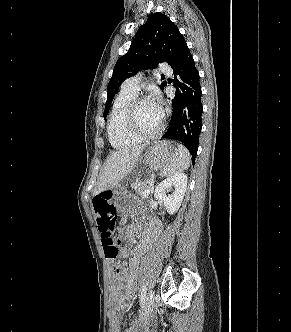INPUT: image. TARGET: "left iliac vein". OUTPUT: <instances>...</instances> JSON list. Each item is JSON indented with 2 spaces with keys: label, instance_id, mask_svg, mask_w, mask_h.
<instances>
[{
  "label": "left iliac vein",
  "instance_id": "obj_1",
  "mask_svg": "<svg viewBox=\"0 0 291 332\" xmlns=\"http://www.w3.org/2000/svg\"><path fill=\"white\" fill-rule=\"evenodd\" d=\"M155 305V293L154 291L150 290L147 297H146V303H145V307H144V311L143 314L140 318V322L138 323H143L151 314L153 308ZM138 323H136V325H138ZM134 330V326L132 328H130V330H127V332H131Z\"/></svg>",
  "mask_w": 291,
  "mask_h": 332
}]
</instances>
